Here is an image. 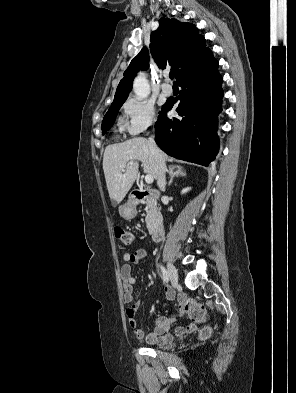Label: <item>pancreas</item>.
I'll return each instance as SVG.
<instances>
[{
  "label": "pancreas",
  "mask_w": 296,
  "mask_h": 393,
  "mask_svg": "<svg viewBox=\"0 0 296 393\" xmlns=\"http://www.w3.org/2000/svg\"><path fill=\"white\" fill-rule=\"evenodd\" d=\"M144 204L146 205L145 210L147 212V215L145 217L146 225L148 230L152 231L155 223V218L158 215L156 204L151 199H147L146 201H144Z\"/></svg>",
  "instance_id": "1"
}]
</instances>
